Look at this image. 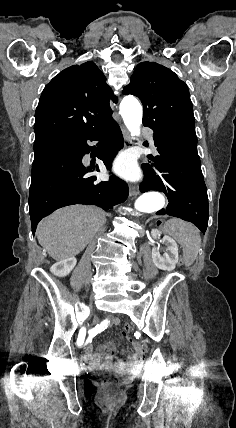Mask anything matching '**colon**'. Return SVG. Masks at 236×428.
Segmentation results:
<instances>
[{
    "label": "colon",
    "mask_w": 236,
    "mask_h": 428,
    "mask_svg": "<svg viewBox=\"0 0 236 428\" xmlns=\"http://www.w3.org/2000/svg\"><path fill=\"white\" fill-rule=\"evenodd\" d=\"M130 330H131V326H130V324H125V325H124V332H125V333H129V332H130ZM108 383L112 385V382H108Z\"/></svg>",
    "instance_id": "5ec220e1"
}]
</instances>
